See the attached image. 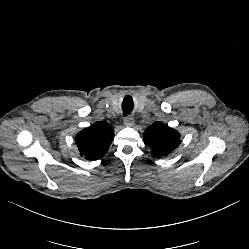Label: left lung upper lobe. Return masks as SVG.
I'll use <instances>...</instances> for the list:
<instances>
[{"label":"left lung upper lobe","mask_w":249,"mask_h":249,"mask_svg":"<svg viewBox=\"0 0 249 249\" xmlns=\"http://www.w3.org/2000/svg\"><path fill=\"white\" fill-rule=\"evenodd\" d=\"M144 143L155 157L166 156L180 144V134L161 122H155L144 132Z\"/></svg>","instance_id":"1"}]
</instances>
